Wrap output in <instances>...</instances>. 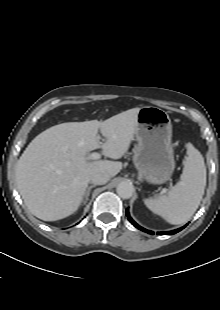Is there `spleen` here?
<instances>
[{
  "label": "spleen",
  "mask_w": 220,
  "mask_h": 310,
  "mask_svg": "<svg viewBox=\"0 0 220 310\" xmlns=\"http://www.w3.org/2000/svg\"><path fill=\"white\" fill-rule=\"evenodd\" d=\"M206 186V167L201 153L189 143L180 181L168 195L145 199L153 213L173 225L188 221L197 210Z\"/></svg>",
  "instance_id": "spleen-1"
}]
</instances>
